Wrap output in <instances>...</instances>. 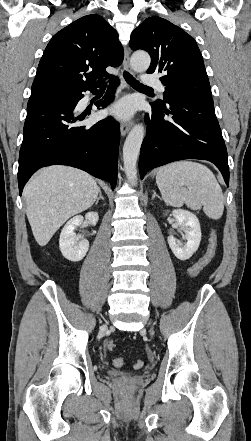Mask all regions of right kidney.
<instances>
[{
    "label": "right kidney",
    "mask_w": 251,
    "mask_h": 441,
    "mask_svg": "<svg viewBox=\"0 0 251 441\" xmlns=\"http://www.w3.org/2000/svg\"><path fill=\"white\" fill-rule=\"evenodd\" d=\"M85 219L93 226H95L99 220L97 212H88L85 215ZM84 217L81 215L71 218L63 227L60 239L59 248L62 255L69 261L78 262L82 260L88 249L89 242L87 239L79 240L74 232L76 227L81 225Z\"/></svg>",
    "instance_id": "obj_1"
}]
</instances>
